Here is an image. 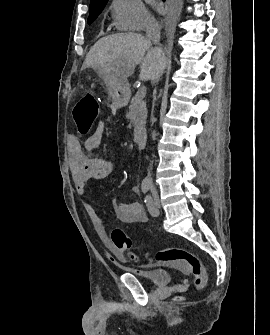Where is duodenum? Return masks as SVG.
Returning a JSON list of instances; mask_svg holds the SVG:
<instances>
[{"label": "duodenum", "instance_id": "obj_1", "mask_svg": "<svg viewBox=\"0 0 270 335\" xmlns=\"http://www.w3.org/2000/svg\"><path fill=\"white\" fill-rule=\"evenodd\" d=\"M135 142L138 146L139 149L143 150L146 148V145H147V138L144 134H138L136 137H135Z\"/></svg>", "mask_w": 270, "mask_h": 335}]
</instances>
